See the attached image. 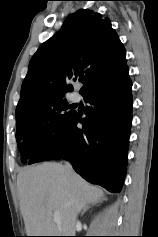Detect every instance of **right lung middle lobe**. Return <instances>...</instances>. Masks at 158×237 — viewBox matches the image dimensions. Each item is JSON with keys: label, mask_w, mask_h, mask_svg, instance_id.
I'll use <instances>...</instances> for the list:
<instances>
[{"label": "right lung middle lobe", "mask_w": 158, "mask_h": 237, "mask_svg": "<svg viewBox=\"0 0 158 237\" xmlns=\"http://www.w3.org/2000/svg\"><path fill=\"white\" fill-rule=\"evenodd\" d=\"M62 100L48 104L43 110L29 116L16 118V140L23 163L32 159L46 144L53 133L67 122L75 111H66L70 106Z\"/></svg>", "instance_id": "1"}]
</instances>
